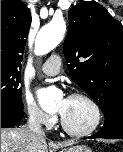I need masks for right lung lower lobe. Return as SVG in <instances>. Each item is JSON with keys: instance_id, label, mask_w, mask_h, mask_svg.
<instances>
[{"instance_id": "1", "label": "right lung lower lobe", "mask_w": 123, "mask_h": 152, "mask_svg": "<svg viewBox=\"0 0 123 152\" xmlns=\"http://www.w3.org/2000/svg\"><path fill=\"white\" fill-rule=\"evenodd\" d=\"M23 110L1 107V128L13 127L23 118Z\"/></svg>"}]
</instances>
